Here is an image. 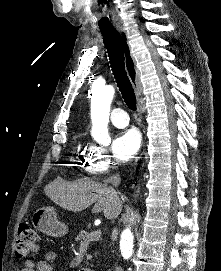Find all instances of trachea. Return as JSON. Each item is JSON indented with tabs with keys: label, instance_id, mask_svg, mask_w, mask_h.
<instances>
[{
	"label": "trachea",
	"instance_id": "trachea-1",
	"mask_svg": "<svg viewBox=\"0 0 221 271\" xmlns=\"http://www.w3.org/2000/svg\"><path fill=\"white\" fill-rule=\"evenodd\" d=\"M100 30L108 51L111 68L122 98L130 110H136V96L125 70L122 39L114 27H104Z\"/></svg>",
	"mask_w": 221,
	"mask_h": 271
}]
</instances>
